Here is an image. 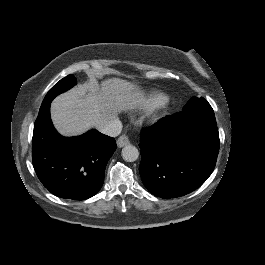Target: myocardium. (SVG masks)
<instances>
[{"instance_id": "myocardium-1", "label": "myocardium", "mask_w": 265, "mask_h": 265, "mask_svg": "<svg viewBox=\"0 0 265 265\" xmlns=\"http://www.w3.org/2000/svg\"><path fill=\"white\" fill-rule=\"evenodd\" d=\"M168 107H169L168 96L164 94H159L154 98L147 112L152 117L153 120H156L160 116V114H162L168 109Z\"/></svg>"}]
</instances>
